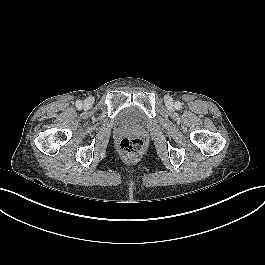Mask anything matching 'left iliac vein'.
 Listing matches in <instances>:
<instances>
[{
	"instance_id": "left-iliac-vein-1",
	"label": "left iliac vein",
	"mask_w": 265,
	"mask_h": 265,
	"mask_svg": "<svg viewBox=\"0 0 265 265\" xmlns=\"http://www.w3.org/2000/svg\"><path fill=\"white\" fill-rule=\"evenodd\" d=\"M165 101H166V105L168 108H173L174 102H173V99L171 97H169V96L166 97Z\"/></svg>"
}]
</instances>
